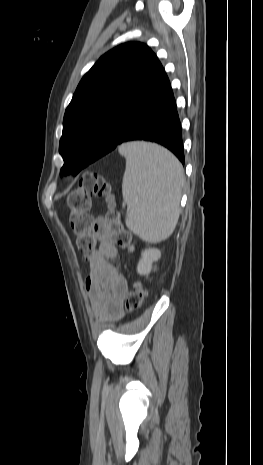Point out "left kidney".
Segmentation results:
<instances>
[{
    "label": "left kidney",
    "mask_w": 263,
    "mask_h": 465,
    "mask_svg": "<svg viewBox=\"0 0 263 465\" xmlns=\"http://www.w3.org/2000/svg\"><path fill=\"white\" fill-rule=\"evenodd\" d=\"M160 256L161 253L157 249L150 248L144 250L137 266L138 274L148 275L151 272L153 262L157 261Z\"/></svg>",
    "instance_id": "5707ae66"
}]
</instances>
